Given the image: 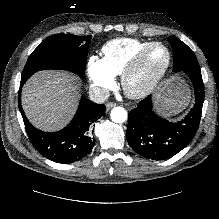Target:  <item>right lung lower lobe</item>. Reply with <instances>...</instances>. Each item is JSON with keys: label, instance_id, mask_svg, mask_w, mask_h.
Segmentation results:
<instances>
[{"label": "right lung lower lobe", "instance_id": "1", "mask_svg": "<svg viewBox=\"0 0 219 219\" xmlns=\"http://www.w3.org/2000/svg\"><path fill=\"white\" fill-rule=\"evenodd\" d=\"M19 90V109L22 114L28 136L34 147L46 158L58 162H74L89 153L94 142L87 135L90 125L105 115V105L96 104L82 98L73 120L62 130L54 133L40 131L26 118L21 106Z\"/></svg>", "mask_w": 219, "mask_h": 219}]
</instances>
